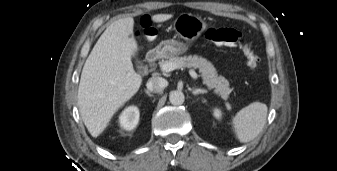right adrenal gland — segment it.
<instances>
[{"mask_svg":"<svg viewBox=\"0 0 337 171\" xmlns=\"http://www.w3.org/2000/svg\"><path fill=\"white\" fill-rule=\"evenodd\" d=\"M145 92H146V94H147L148 96H153L152 94H150L149 91L145 90Z\"/></svg>","mask_w":337,"mask_h":171,"instance_id":"2a0ac1e0","label":"right adrenal gland"}]
</instances>
